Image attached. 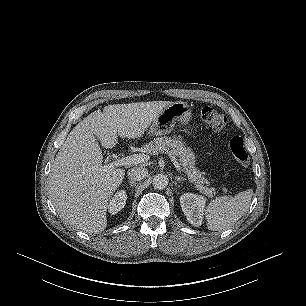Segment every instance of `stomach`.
Segmentation results:
<instances>
[{"label": "stomach", "mask_w": 306, "mask_h": 306, "mask_svg": "<svg viewBox=\"0 0 306 306\" xmlns=\"http://www.w3.org/2000/svg\"><path fill=\"white\" fill-rule=\"evenodd\" d=\"M191 109L182 101H177L166 106L152 122L148 133L150 135L161 136L169 134L176 121L187 124L191 119Z\"/></svg>", "instance_id": "obj_1"}]
</instances>
